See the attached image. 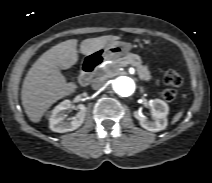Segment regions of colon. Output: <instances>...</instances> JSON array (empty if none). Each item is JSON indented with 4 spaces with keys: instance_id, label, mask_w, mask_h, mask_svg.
<instances>
[{
    "instance_id": "colon-1",
    "label": "colon",
    "mask_w": 212,
    "mask_h": 183,
    "mask_svg": "<svg viewBox=\"0 0 212 183\" xmlns=\"http://www.w3.org/2000/svg\"><path fill=\"white\" fill-rule=\"evenodd\" d=\"M162 82L166 88L162 92V97L166 101H173L177 95L175 88L183 83L182 75L174 68H168L163 76Z\"/></svg>"
}]
</instances>
